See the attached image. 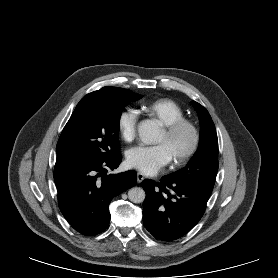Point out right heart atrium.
Returning <instances> with one entry per match:
<instances>
[{"instance_id": "obj_1", "label": "right heart atrium", "mask_w": 278, "mask_h": 278, "mask_svg": "<svg viewBox=\"0 0 278 278\" xmlns=\"http://www.w3.org/2000/svg\"><path fill=\"white\" fill-rule=\"evenodd\" d=\"M138 123V113L136 110L128 108L123 110L118 117V131L125 141H132L136 134Z\"/></svg>"}]
</instances>
